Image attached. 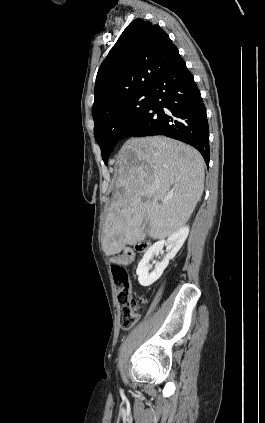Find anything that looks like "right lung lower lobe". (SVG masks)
<instances>
[{"mask_svg": "<svg viewBox=\"0 0 265 423\" xmlns=\"http://www.w3.org/2000/svg\"><path fill=\"white\" fill-rule=\"evenodd\" d=\"M151 101L126 137L165 135L195 147L209 164V127L200 91L179 53L156 78Z\"/></svg>", "mask_w": 265, "mask_h": 423, "instance_id": "right-lung-lower-lobe-1", "label": "right lung lower lobe"}]
</instances>
